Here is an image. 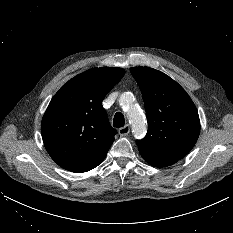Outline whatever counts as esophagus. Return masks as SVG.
<instances>
[{"label": "esophagus", "instance_id": "1", "mask_svg": "<svg viewBox=\"0 0 233 233\" xmlns=\"http://www.w3.org/2000/svg\"><path fill=\"white\" fill-rule=\"evenodd\" d=\"M118 132H119L120 136H126L130 132V126L125 125L124 127H121Z\"/></svg>", "mask_w": 233, "mask_h": 233}]
</instances>
